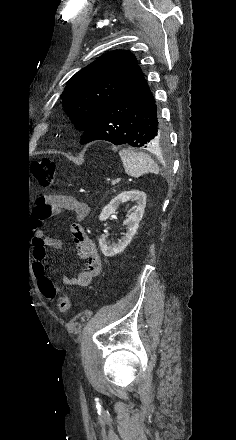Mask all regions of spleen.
I'll use <instances>...</instances> for the list:
<instances>
[{"mask_svg":"<svg viewBox=\"0 0 236 440\" xmlns=\"http://www.w3.org/2000/svg\"><path fill=\"white\" fill-rule=\"evenodd\" d=\"M125 172L135 178L145 173H158V165L146 153L136 152L131 148L121 149L119 151Z\"/></svg>","mask_w":236,"mask_h":440,"instance_id":"obj_1","label":"spleen"}]
</instances>
